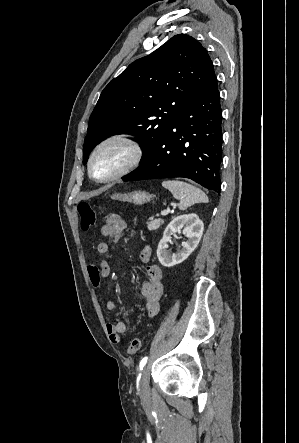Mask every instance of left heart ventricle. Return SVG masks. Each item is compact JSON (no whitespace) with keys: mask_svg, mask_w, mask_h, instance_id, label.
Here are the masks:
<instances>
[{"mask_svg":"<svg viewBox=\"0 0 299 443\" xmlns=\"http://www.w3.org/2000/svg\"><path fill=\"white\" fill-rule=\"evenodd\" d=\"M128 152L120 144L106 146L93 163V173L96 177H105L116 171L127 159Z\"/></svg>","mask_w":299,"mask_h":443,"instance_id":"obj_1","label":"left heart ventricle"}]
</instances>
